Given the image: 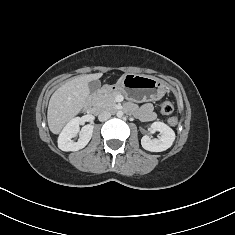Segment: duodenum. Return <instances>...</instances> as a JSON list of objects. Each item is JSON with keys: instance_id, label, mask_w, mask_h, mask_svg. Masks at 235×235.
Segmentation results:
<instances>
[{"instance_id": "duodenum-1", "label": "duodenum", "mask_w": 235, "mask_h": 235, "mask_svg": "<svg viewBox=\"0 0 235 235\" xmlns=\"http://www.w3.org/2000/svg\"><path fill=\"white\" fill-rule=\"evenodd\" d=\"M112 91H114V90H113L111 87L105 86V87H103V88L99 91V93H100V94H106V93H109V92H112ZM86 109H87V111L90 112V113H93V112H94V108H93V106H92L91 103H88V104H87Z\"/></svg>"}]
</instances>
